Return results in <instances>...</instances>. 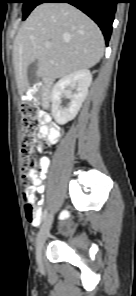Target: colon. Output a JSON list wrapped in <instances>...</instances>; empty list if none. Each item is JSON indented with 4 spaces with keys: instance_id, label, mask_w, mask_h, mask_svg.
Wrapping results in <instances>:
<instances>
[{
    "instance_id": "obj_1",
    "label": "colon",
    "mask_w": 136,
    "mask_h": 296,
    "mask_svg": "<svg viewBox=\"0 0 136 296\" xmlns=\"http://www.w3.org/2000/svg\"><path fill=\"white\" fill-rule=\"evenodd\" d=\"M32 92L28 91L20 110L21 119V141L23 155V174L25 179V188L23 193L25 214L29 221L34 222L40 219L39 210L35 206V189L30 184L35 179L37 162L34 157L35 152L44 146V142L35 137L38 128L41 127L39 108L30 101Z\"/></svg>"
}]
</instances>
